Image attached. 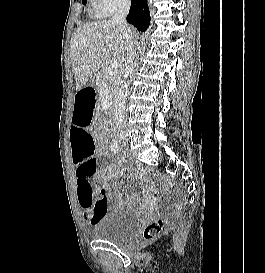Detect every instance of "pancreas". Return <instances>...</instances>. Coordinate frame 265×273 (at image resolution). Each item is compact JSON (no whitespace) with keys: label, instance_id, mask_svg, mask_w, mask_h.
<instances>
[{"label":"pancreas","instance_id":"obj_1","mask_svg":"<svg viewBox=\"0 0 265 273\" xmlns=\"http://www.w3.org/2000/svg\"><path fill=\"white\" fill-rule=\"evenodd\" d=\"M108 67V62L102 66V68L98 71L97 77H96V85L97 88L100 89L102 86H105L107 88V93L112 99V94L115 93L114 89L120 82V73L116 72L113 75L107 76L106 70ZM114 91V93H113Z\"/></svg>","mask_w":265,"mask_h":273}]
</instances>
